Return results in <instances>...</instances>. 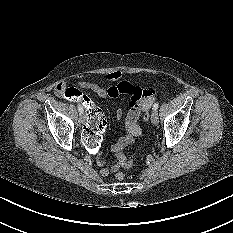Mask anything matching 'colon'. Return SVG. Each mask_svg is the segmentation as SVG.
<instances>
[{
	"instance_id": "colon-1",
	"label": "colon",
	"mask_w": 233,
	"mask_h": 233,
	"mask_svg": "<svg viewBox=\"0 0 233 233\" xmlns=\"http://www.w3.org/2000/svg\"><path fill=\"white\" fill-rule=\"evenodd\" d=\"M63 95L66 100L74 101L78 105H84V107L86 108L89 117V126L85 128L82 139L87 153L92 156L96 155L101 146L102 137L107 124L104 114L90 101V99L82 91H79L72 87H68L64 90ZM148 117L149 113L147 110L144 112L143 118L144 120H148ZM115 157L117 159L118 165L124 168H131L134 166V161L131 159H127L122 152L116 153ZM116 177L117 179L122 180L124 179L125 175L123 173H118Z\"/></svg>"
}]
</instances>
